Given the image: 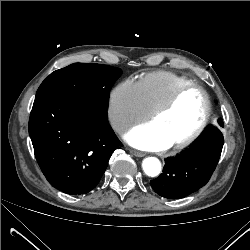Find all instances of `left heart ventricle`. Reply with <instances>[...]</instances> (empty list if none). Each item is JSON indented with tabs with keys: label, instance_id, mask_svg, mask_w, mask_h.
I'll use <instances>...</instances> for the list:
<instances>
[{
	"label": "left heart ventricle",
	"instance_id": "b2bd125f",
	"mask_svg": "<svg viewBox=\"0 0 250 250\" xmlns=\"http://www.w3.org/2000/svg\"><path fill=\"white\" fill-rule=\"evenodd\" d=\"M205 101L200 91L184 93L167 114L152 123L172 144L189 136L202 121Z\"/></svg>",
	"mask_w": 250,
	"mask_h": 250
}]
</instances>
